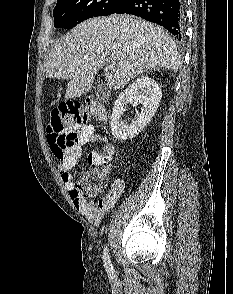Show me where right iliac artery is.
<instances>
[{
  "label": "right iliac artery",
  "mask_w": 233,
  "mask_h": 294,
  "mask_svg": "<svg viewBox=\"0 0 233 294\" xmlns=\"http://www.w3.org/2000/svg\"><path fill=\"white\" fill-rule=\"evenodd\" d=\"M103 261H104V266H105L107 273L109 275H112L113 274V266L111 264L109 250H108L107 246L104 248V251H103Z\"/></svg>",
  "instance_id": "obj_1"
}]
</instances>
